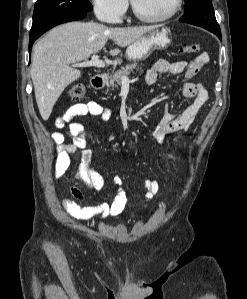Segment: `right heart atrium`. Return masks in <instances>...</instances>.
I'll return each mask as SVG.
<instances>
[{"label": "right heart atrium", "mask_w": 247, "mask_h": 299, "mask_svg": "<svg viewBox=\"0 0 247 299\" xmlns=\"http://www.w3.org/2000/svg\"><path fill=\"white\" fill-rule=\"evenodd\" d=\"M96 16L108 23H118L128 8V0H90Z\"/></svg>", "instance_id": "1"}]
</instances>
